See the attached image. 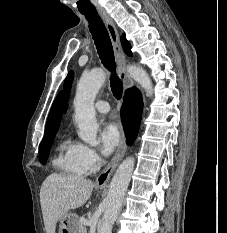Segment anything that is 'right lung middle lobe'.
<instances>
[{"label":"right lung middle lobe","instance_id":"1","mask_svg":"<svg viewBox=\"0 0 227 233\" xmlns=\"http://www.w3.org/2000/svg\"><path fill=\"white\" fill-rule=\"evenodd\" d=\"M54 137L43 140L40 147V162L45 164L50 153V148L52 146Z\"/></svg>","mask_w":227,"mask_h":233}]
</instances>
